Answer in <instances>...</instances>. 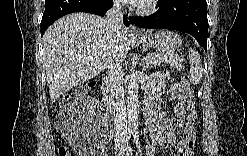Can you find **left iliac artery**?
<instances>
[{"label": "left iliac artery", "instance_id": "left-iliac-artery-1", "mask_svg": "<svg viewBox=\"0 0 247 156\" xmlns=\"http://www.w3.org/2000/svg\"><path fill=\"white\" fill-rule=\"evenodd\" d=\"M138 143H139V142H138V139H137V140H136V144H137V147L140 148V145H138ZM129 151H130V150H129ZM139 152H140V150H139Z\"/></svg>", "mask_w": 247, "mask_h": 156}]
</instances>
